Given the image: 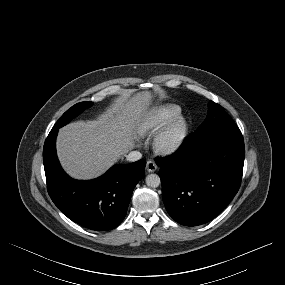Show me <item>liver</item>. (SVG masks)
Wrapping results in <instances>:
<instances>
[{"mask_svg": "<svg viewBox=\"0 0 285 285\" xmlns=\"http://www.w3.org/2000/svg\"><path fill=\"white\" fill-rule=\"evenodd\" d=\"M152 98L150 91L124 94L96 120L77 121L61 128L57 154L64 170L83 180L103 174L134 147Z\"/></svg>", "mask_w": 285, "mask_h": 285, "instance_id": "1", "label": "liver"}]
</instances>
